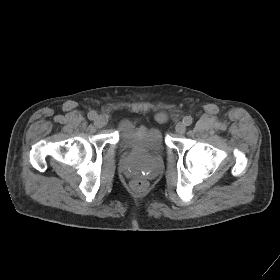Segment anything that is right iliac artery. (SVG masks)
<instances>
[{"label":"right iliac artery","mask_w":280,"mask_h":280,"mask_svg":"<svg viewBox=\"0 0 280 280\" xmlns=\"http://www.w3.org/2000/svg\"><path fill=\"white\" fill-rule=\"evenodd\" d=\"M88 118H89L90 120H95V119L97 118V113H96L95 111H90V112L88 113Z\"/></svg>","instance_id":"82829eb1"}]
</instances>
